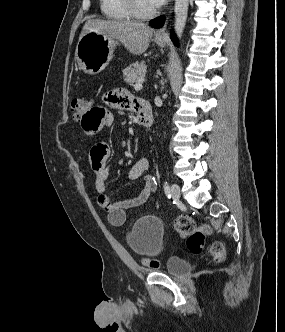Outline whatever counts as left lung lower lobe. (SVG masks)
Here are the masks:
<instances>
[{
    "instance_id": "left-lung-lower-lobe-1",
    "label": "left lung lower lobe",
    "mask_w": 285,
    "mask_h": 332,
    "mask_svg": "<svg viewBox=\"0 0 285 332\" xmlns=\"http://www.w3.org/2000/svg\"><path fill=\"white\" fill-rule=\"evenodd\" d=\"M164 20H165V17H164V16H161V17H159V18H156V19L152 20V21L150 22V24H151V26H153V27H155V28H160V27L163 25ZM171 39H172V41L174 42V44H175L176 46H178L177 38H176V35H175L174 33H171Z\"/></svg>"
}]
</instances>
